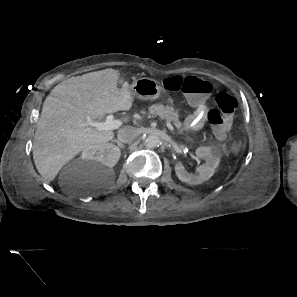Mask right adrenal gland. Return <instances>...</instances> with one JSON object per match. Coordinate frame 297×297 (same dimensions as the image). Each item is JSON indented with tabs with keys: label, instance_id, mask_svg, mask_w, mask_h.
Here are the masks:
<instances>
[{
	"label": "right adrenal gland",
	"instance_id": "2a0ac1e0",
	"mask_svg": "<svg viewBox=\"0 0 297 297\" xmlns=\"http://www.w3.org/2000/svg\"><path fill=\"white\" fill-rule=\"evenodd\" d=\"M111 142H115L119 147L123 148L124 145L117 139H113Z\"/></svg>",
	"mask_w": 297,
	"mask_h": 297
}]
</instances>
